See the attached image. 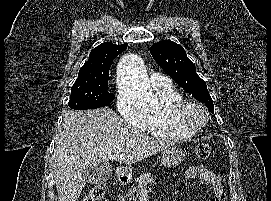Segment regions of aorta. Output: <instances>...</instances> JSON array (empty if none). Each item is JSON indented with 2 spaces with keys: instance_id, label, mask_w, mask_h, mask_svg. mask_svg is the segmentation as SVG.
Instances as JSON below:
<instances>
[{
  "instance_id": "obj_1",
  "label": "aorta",
  "mask_w": 271,
  "mask_h": 201,
  "mask_svg": "<svg viewBox=\"0 0 271 201\" xmlns=\"http://www.w3.org/2000/svg\"><path fill=\"white\" fill-rule=\"evenodd\" d=\"M117 73L122 90L136 105L147 109L157 106V98L149 87L143 62L138 55L131 53L123 56Z\"/></svg>"
}]
</instances>
